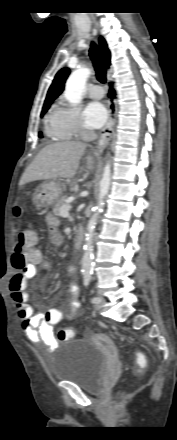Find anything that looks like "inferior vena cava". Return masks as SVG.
Returning a JSON list of instances; mask_svg holds the SVG:
<instances>
[{
  "label": "inferior vena cava",
  "instance_id": "1",
  "mask_svg": "<svg viewBox=\"0 0 177 440\" xmlns=\"http://www.w3.org/2000/svg\"><path fill=\"white\" fill-rule=\"evenodd\" d=\"M82 138L84 141H93L97 138V135L93 131H84Z\"/></svg>",
  "mask_w": 177,
  "mask_h": 440
}]
</instances>
